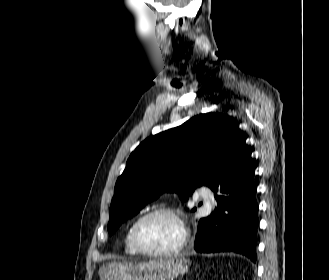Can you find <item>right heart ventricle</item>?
Masks as SVG:
<instances>
[{"instance_id":"right-heart-ventricle-1","label":"right heart ventricle","mask_w":329,"mask_h":280,"mask_svg":"<svg viewBox=\"0 0 329 280\" xmlns=\"http://www.w3.org/2000/svg\"><path fill=\"white\" fill-rule=\"evenodd\" d=\"M134 222H132L125 234V240H124V244H125V252L128 255H138V252L135 250V248L133 247L132 243H131V239H130V231H131V227L133 225Z\"/></svg>"}]
</instances>
